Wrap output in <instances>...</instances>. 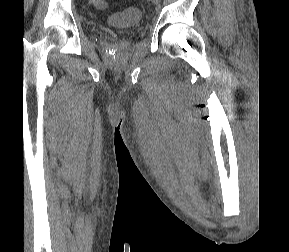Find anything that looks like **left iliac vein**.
Wrapping results in <instances>:
<instances>
[{
  "mask_svg": "<svg viewBox=\"0 0 289 252\" xmlns=\"http://www.w3.org/2000/svg\"><path fill=\"white\" fill-rule=\"evenodd\" d=\"M153 3H157L158 2V0H151Z\"/></svg>",
  "mask_w": 289,
  "mask_h": 252,
  "instance_id": "1",
  "label": "left iliac vein"
}]
</instances>
